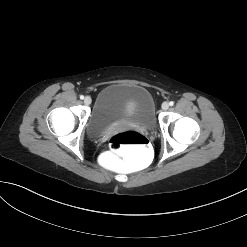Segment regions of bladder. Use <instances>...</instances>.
<instances>
[{"mask_svg": "<svg viewBox=\"0 0 247 247\" xmlns=\"http://www.w3.org/2000/svg\"><path fill=\"white\" fill-rule=\"evenodd\" d=\"M117 123L142 128L155 126V104L147 89L139 85L112 84L99 93L87 123L88 132L99 134Z\"/></svg>", "mask_w": 247, "mask_h": 247, "instance_id": "31cf9c89", "label": "bladder"}]
</instances>
